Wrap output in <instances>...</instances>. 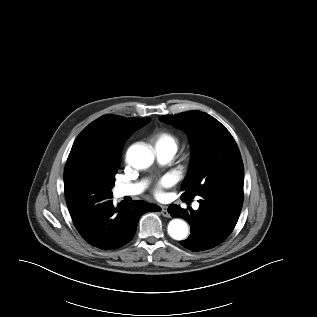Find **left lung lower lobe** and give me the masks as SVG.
Returning <instances> with one entry per match:
<instances>
[{"mask_svg":"<svg viewBox=\"0 0 317 317\" xmlns=\"http://www.w3.org/2000/svg\"><path fill=\"white\" fill-rule=\"evenodd\" d=\"M198 210L170 205L172 217L184 218L190 236L179 243L191 251H204L221 244L233 231L243 205V190L216 188L201 194ZM185 200V199H182Z\"/></svg>","mask_w":317,"mask_h":317,"instance_id":"0a47b994","label":"left lung lower lobe"}]
</instances>
